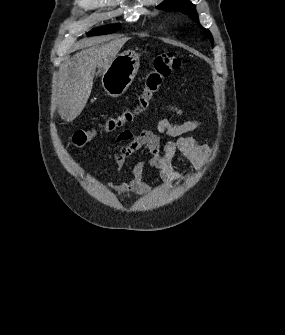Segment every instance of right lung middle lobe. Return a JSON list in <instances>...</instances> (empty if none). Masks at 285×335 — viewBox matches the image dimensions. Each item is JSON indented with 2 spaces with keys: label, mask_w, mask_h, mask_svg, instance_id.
<instances>
[{
  "label": "right lung middle lobe",
  "mask_w": 285,
  "mask_h": 335,
  "mask_svg": "<svg viewBox=\"0 0 285 335\" xmlns=\"http://www.w3.org/2000/svg\"><path fill=\"white\" fill-rule=\"evenodd\" d=\"M119 27H120V25L116 24V25H111V26H108V27L97 28V29H94V30L88 32L87 35L93 36V35L110 34V33H114L116 30H118Z\"/></svg>",
  "instance_id": "right-lung-middle-lobe-1"
}]
</instances>
